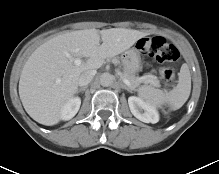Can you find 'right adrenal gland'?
Masks as SVG:
<instances>
[{
    "label": "right adrenal gland",
    "mask_w": 219,
    "mask_h": 174,
    "mask_svg": "<svg viewBox=\"0 0 219 174\" xmlns=\"http://www.w3.org/2000/svg\"><path fill=\"white\" fill-rule=\"evenodd\" d=\"M87 89V86L81 87L77 90V93L84 92Z\"/></svg>",
    "instance_id": "right-adrenal-gland-1"
}]
</instances>
